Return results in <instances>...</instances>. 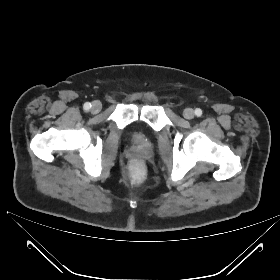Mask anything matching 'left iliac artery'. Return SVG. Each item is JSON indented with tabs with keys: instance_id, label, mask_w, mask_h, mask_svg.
Instances as JSON below:
<instances>
[{
	"instance_id": "obj_1",
	"label": "left iliac artery",
	"mask_w": 280,
	"mask_h": 280,
	"mask_svg": "<svg viewBox=\"0 0 280 280\" xmlns=\"http://www.w3.org/2000/svg\"><path fill=\"white\" fill-rule=\"evenodd\" d=\"M195 114H196V116H201L202 115V110L201 109H199V108H197L196 110H195Z\"/></svg>"
}]
</instances>
